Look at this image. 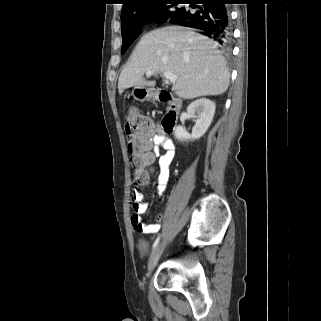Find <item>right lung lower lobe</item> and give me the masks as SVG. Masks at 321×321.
<instances>
[{
  "instance_id": "98d812e1",
  "label": "right lung lower lobe",
  "mask_w": 321,
  "mask_h": 321,
  "mask_svg": "<svg viewBox=\"0 0 321 321\" xmlns=\"http://www.w3.org/2000/svg\"><path fill=\"white\" fill-rule=\"evenodd\" d=\"M229 1L188 0L185 3L189 6L174 12L167 22L203 30L207 36L227 47L230 42V23L226 4Z\"/></svg>"
}]
</instances>
